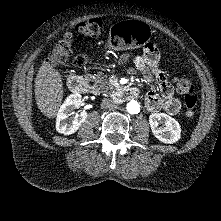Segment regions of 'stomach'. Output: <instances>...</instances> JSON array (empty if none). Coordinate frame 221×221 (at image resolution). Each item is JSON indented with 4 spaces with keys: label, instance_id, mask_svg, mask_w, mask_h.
<instances>
[{
    "label": "stomach",
    "instance_id": "1",
    "mask_svg": "<svg viewBox=\"0 0 221 221\" xmlns=\"http://www.w3.org/2000/svg\"><path fill=\"white\" fill-rule=\"evenodd\" d=\"M149 37L150 31L144 22L127 20L112 28L108 47L113 50L136 51L147 44Z\"/></svg>",
    "mask_w": 221,
    "mask_h": 221
}]
</instances>
